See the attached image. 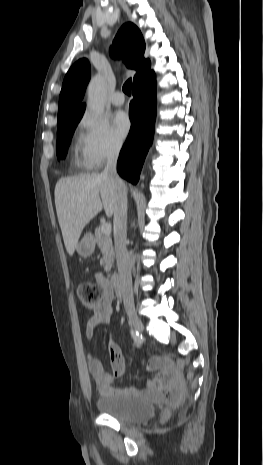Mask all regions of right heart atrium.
<instances>
[{
  "label": "right heart atrium",
  "instance_id": "d8ad5b80",
  "mask_svg": "<svg viewBox=\"0 0 263 465\" xmlns=\"http://www.w3.org/2000/svg\"><path fill=\"white\" fill-rule=\"evenodd\" d=\"M79 143L82 164L88 169H98L116 157L123 140L103 119L86 114L79 124Z\"/></svg>",
  "mask_w": 263,
  "mask_h": 465
}]
</instances>
